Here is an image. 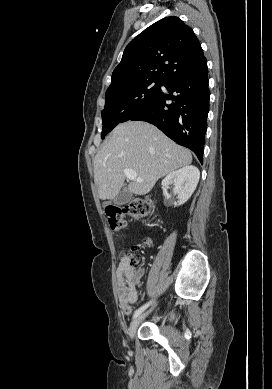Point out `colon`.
Segmentation results:
<instances>
[{"label":"colon","instance_id":"1","mask_svg":"<svg viewBox=\"0 0 272 389\" xmlns=\"http://www.w3.org/2000/svg\"><path fill=\"white\" fill-rule=\"evenodd\" d=\"M151 212V206L141 199H134L123 207H112L106 210V219L110 228L118 231L123 228L125 224V217L132 216L135 218L146 217ZM149 240H146L143 246H148ZM142 246L132 248V254L129 256V262L132 267H137L141 262Z\"/></svg>","mask_w":272,"mask_h":389}]
</instances>
